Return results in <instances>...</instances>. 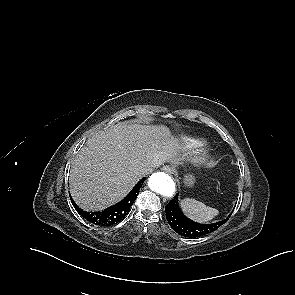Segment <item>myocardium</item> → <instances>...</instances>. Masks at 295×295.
Here are the masks:
<instances>
[{
	"instance_id": "myocardium-1",
	"label": "myocardium",
	"mask_w": 295,
	"mask_h": 295,
	"mask_svg": "<svg viewBox=\"0 0 295 295\" xmlns=\"http://www.w3.org/2000/svg\"><path fill=\"white\" fill-rule=\"evenodd\" d=\"M209 156H210V150L204 149L199 153L197 159L199 162H204L209 158Z\"/></svg>"
}]
</instances>
